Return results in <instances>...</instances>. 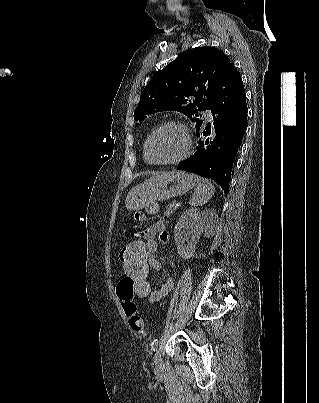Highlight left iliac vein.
Segmentation results:
<instances>
[{
    "instance_id": "obj_1",
    "label": "left iliac vein",
    "mask_w": 319,
    "mask_h": 403,
    "mask_svg": "<svg viewBox=\"0 0 319 403\" xmlns=\"http://www.w3.org/2000/svg\"><path fill=\"white\" fill-rule=\"evenodd\" d=\"M154 367L157 371L161 370L162 367V358H161V349H156L153 356Z\"/></svg>"
}]
</instances>
